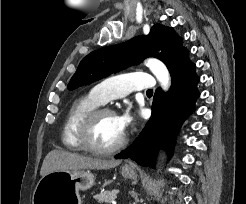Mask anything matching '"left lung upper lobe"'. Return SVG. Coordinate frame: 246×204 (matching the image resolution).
Returning <instances> with one entry per match:
<instances>
[{"label":"left lung upper lobe","instance_id":"1","mask_svg":"<svg viewBox=\"0 0 246 204\" xmlns=\"http://www.w3.org/2000/svg\"><path fill=\"white\" fill-rule=\"evenodd\" d=\"M186 51L182 39L172 28L155 24L147 36H137L122 44L108 46L88 54L80 62L68 89L73 90L102 79L147 57L160 59L169 69Z\"/></svg>","mask_w":246,"mask_h":204}]
</instances>
